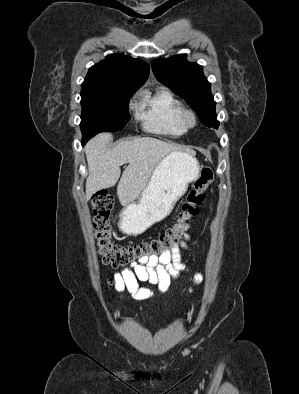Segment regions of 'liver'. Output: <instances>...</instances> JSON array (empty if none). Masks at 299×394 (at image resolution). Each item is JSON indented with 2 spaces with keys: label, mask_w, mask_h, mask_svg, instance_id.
Masks as SVG:
<instances>
[{
  "label": "liver",
  "mask_w": 299,
  "mask_h": 394,
  "mask_svg": "<svg viewBox=\"0 0 299 394\" xmlns=\"http://www.w3.org/2000/svg\"><path fill=\"white\" fill-rule=\"evenodd\" d=\"M110 133H101L85 146L89 175L86 179V199L98 190L114 186L121 175L120 166L128 163L117 186V195L122 205L136 200L145 189L157 165L162 159L180 148L153 137L124 140L114 148L107 144Z\"/></svg>",
  "instance_id": "1"
}]
</instances>
